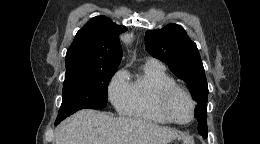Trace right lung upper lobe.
<instances>
[{
	"instance_id": "1",
	"label": "right lung upper lobe",
	"mask_w": 260,
	"mask_h": 144,
	"mask_svg": "<svg viewBox=\"0 0 260 144\" xmlns=\"http://www.w3.org/2000/svg\"><path fill=\"white\" fill-rule=\"evenodd\" d=\"M126 30L105 16L90 19L67 51L66 73L117 69L122 58L118 35Z\"/></svg>"
}]
</instances>
